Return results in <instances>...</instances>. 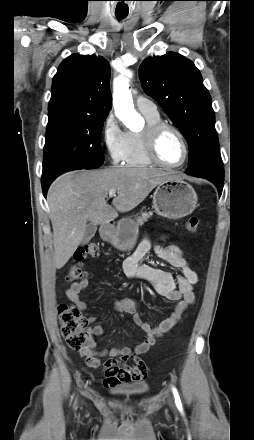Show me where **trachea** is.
<instances>
[{
  "mask_svg": "<svg viewBox=\"0 0 254 440\" xmlns=\"http://www.w3.org/2000/svg\"><path fill=\"white\" fill-rule=\"evenodd\" d=\"M117 17H118L119 19H124L126 16L118 15Z\"/></svg>",
  "mask_w": 254,
  "mask_h": 440,
  "instance_id": "obj_1",
  "label": "trachea"
}]
</instances>
